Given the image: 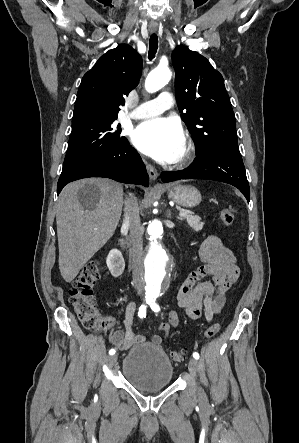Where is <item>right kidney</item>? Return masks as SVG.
Listing matches in <instances>:
<instances>
[{
	"label": "right kidney",
	"instance_id": "ca27d5eb",
	"mask_svg": "<svg viewBox=\"0 0 299 443\" xmlns=\"http://www.w3.org/2000/svg\"><path fill=\"white\" fill-rule=\"evenodd\" d=\"M106 264L113 277H118L122 275L125 269V261L123 255L117 249H113L109 252L106 259Z\"/></svg>",
	"mask_w": 299,
	"mask_h": 443
}]
</instances>
